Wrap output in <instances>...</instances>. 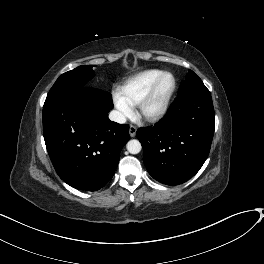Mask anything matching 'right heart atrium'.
Instances as JSON below:
<instances>
[{
	"instance_id": "obj_1",
	"label": "right heart atrium",
	"mask_w": 264,
	"mask_h": 264,
	"mask_svg": "<svg viewBox=\"0 0 264 264\" xmlns=\"http://www.w3.org/2000/svg\"><path fill=\"white\" fill-rule=\"evenodd\" d=\"M113 100L120 119L124 120L132 116L133 105L125 100L119 92L114 94Z\"/></svg>"
}]
</instances>
